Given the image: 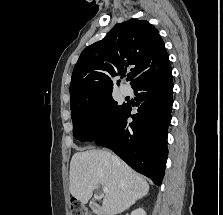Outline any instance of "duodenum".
<instances>
[{
	"instance_id": "410a0bca",
	"label": "duodenum",
	"mask_w": 223,
	"mask_h": 215,
	"mask_svg": "<svg viewBox=\"0 0 223 215\" xmlns=\"http://www.w3.org/2000/svg\"><path fill=\"white\" fill-rule=\"evenodd\" d=\"M93 209L96 215H103V210L99 204L95 203Z\"/></svg>"
}]
</instances>
